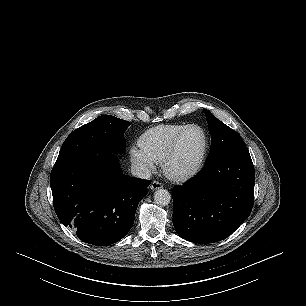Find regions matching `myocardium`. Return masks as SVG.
<instances>
[{"mask_svg":"<svg viewBox=\"0 0 306 306\" xmlns=\"http://www.w3.org/2000/svg\"><path fill=\"white\" fill-rule=\"evenodd\" d=\"M193 128L200 130L201 133L203 134V137H204L203 152L199 160L193 167L187 170H183V171H176L173 169V164L178 156L181 141L183 137L185 136V134L190 129H193ZM208 150H209V137H208L206 130L198 124L186 125L183 128V130L176 136L171 146V149L169 150L168 154L162 161V169H163L164 174L166 175V177L174 181H183V180H187V179L194 177L202 169L204 162L206 160L207 154H208Z\"/></svg>","mask_w":306,"mask_h":306,"instance_id":"f54148a6","label":"myocardium"}]
</instances>
